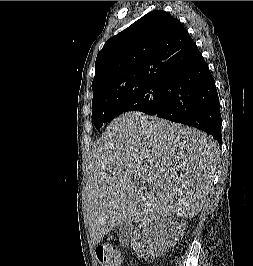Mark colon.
Here are the masks:
<instances>
[{
    "mask_svg": "<svg viewBox=\"0 0 253 266\" xmlns=\"http://www.w3.org/2000/svg\"><path fill=\"white\" fill-rule=\"evenodd\" d=\"M96 258L100 266H119L121 254L108 244H99L95 250Z\"/></svg>",
    "mask_w": 253,
    "mask_h": 266,
    "instance_id": "colon-1",
    "label": "colon"
}]
</instances>
